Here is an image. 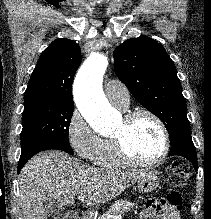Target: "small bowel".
Here are the masks:
<instances>
[{"label":"small bowel","instance_id":"small-bowel-1","mask_svg":"<svg viewBox=\"0 0 211 219\" xmlns=\"http://www.w3.org/2000/svg\"><path fill=\"white\" fill-rule=\"evenodd\" d=\"M139 219H180L178 211L163 201L150 199L146 202Z\"/></svg>","mask_w":211,"mask_h":219}]
</instances>
